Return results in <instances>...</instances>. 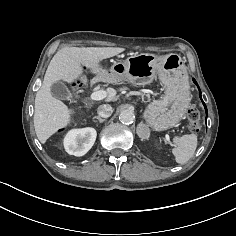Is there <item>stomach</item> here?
Masks as SVG:
<instances>
[{
  "mask_svg": "<svg viewBox=\"0 0 236 236\" xmlns=\"http://www.w3.org/2000/svg\"><path fill=\"white\" fill-rule=\"evenodd\" d=\"M117 82L129 81L133 85L150 84L157 75L166 86L165 95L151 102L143 117L156 131L175 126L185 115L189 103V85L182 60L175 54L157 56L150 53L130 54L123 62H115L107 70Z\"/></svg>",
  "mask_w": 236,
  "mask_h": 236,
  "instance_id": "stomach-1",
  "label": "stomach"
}]
</instances>
